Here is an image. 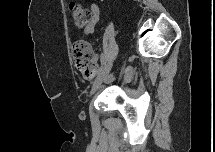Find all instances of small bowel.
<instances>
[{
	"instance_id": "small-bowel-1",
	"label": "small bowel",
	"mask_w": 215,
	"mask_h": 152,
	"mask_svg": "<svg viewBox=\"0 0 215 152\" xmlns=\"http://www.w3.org/2000/svg\"><path fill=\"white\" fill-rule=\"evenodd\" d=\"M89 10L91 13L90 22L84 27V33L86 35H92L95 32L100 19V9L97 4H91ZM128 77H130V75H128Z\"/></svg>"
}]
</instances>
